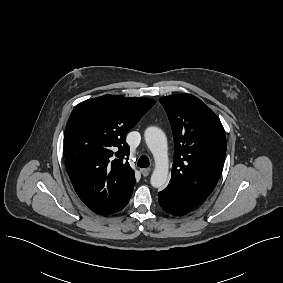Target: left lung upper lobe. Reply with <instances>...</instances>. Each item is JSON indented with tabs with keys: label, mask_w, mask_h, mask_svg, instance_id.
Listing matches in <instances>:
<instances>
[{
	"label": "left lung upper lobe",
	"mask_w": 283,
	"mask_h": 283,
	"mask_svg": "<svg viewBox=\"0 0 283 283\" xmlns=\"http://www.w3.org/2000/svg\"><path fill=\"white\" fill-rule=\"evenodd\" d=\"M159 101L169 117L175 142L167 189L192 210L218 182L226 154L225 131L215 113L191 94L166 96Z\"/></svg>",
	"instance_id": "1"
}]
</instances>
